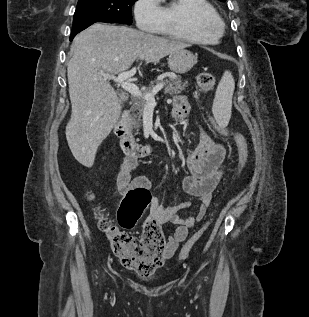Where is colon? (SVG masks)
Segmentation results:
<instances>
[{
  "instance_id": "colon-1",
  "label": "colon",
  "mask_w": 309,
  "mask_h": 317,
  "mask_svg": "<svg viewBox=\"0 0 309 317\" xmlns=\"http://www.w3.org/2000/svg\"><path fill=\"white\" fill-rule=\"evenodd\" d=\"M197 85L201 92L209 93L215 85V78L209 72H202L197 77ZM225 134H228L225 131ZM235 141L238 154L237 175L244 169L248 159V145L245 138L239 133L230 134ZM151 194L145 189H133L125 194L118 213V225L110 219L97 213L100 229L106 233L112 250L121 264L128 269L147 276L163 264L165 237L160 224L154 220L144 223L143 231L137 238L127 233L125 229L132 228L145 209L149 206ZM206 224L193 235L181 250L180 257L185 258L191 248L206 230Z\"/></svg>"
}]
</instances>
